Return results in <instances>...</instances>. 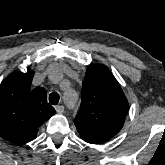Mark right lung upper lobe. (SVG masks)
<instances>
[{
    "label": "right lung upper lobe",
    "instance_id": "obj_1",
    "mask_svg": "<svg viewBox=\"0 0 165 165\" xmlns=\"http://www.w3.org/2000/svg\"><path fill=\"white\" fill-rule=\"evenodd\" d=\"M33 76L31 69L14 72L0 85V135L18 145L35 139L38 127L56 113L44 88L30 90Z\"/></svg>",
    "mask_w": 165,
    "mask_h": 165
}]
</instances>
